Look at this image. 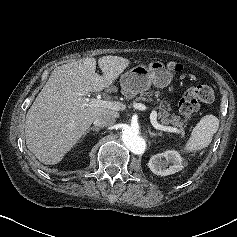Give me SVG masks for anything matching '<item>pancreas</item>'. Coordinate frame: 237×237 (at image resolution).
Masks as SVG:
<instances>
[{"label": "pancreas", "mask_w": 237, "mask_h": 237, "mask_svg": "<svg viewBox=\"0 0 237 237\" xmlns=\"http://www.w3.org/2000/svg\"><path fill=\"white\" fill-rule=\"evenodd\" d=\"M152 96L157 98V102L159 103L157 106V109L159 110L158 119L160 120V122L164 125L172 124L174 126L179 127L182 135H184V132H183L184 123L181 121L180 116L170 114V111H171L170 105L167 104L166 101L159 99L160 93L158 91H155V92L150 91V92L141 93L140 96L135 98L133 103L140 102V101H152V98H151Z\"/></svg>", "instance_id": "1"}]
</instances>
